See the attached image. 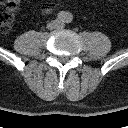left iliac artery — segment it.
I'll use <instances>...</instances> for the list:
<instances>
[{
  "label": "left iliac artery",
  "instance_id": "1",
  "mask_svg": "<svg viewBox=\"0 0 128 128\" xmlns=\"http://www.w3.org/2000/svg\"><path fill=\"white\" fill-rule=\"evenodd\" d=\"M72 20H73L72 14L68 13V14L66 15L65 22H66V23H71Z\"/></svg>",
  "mask_w": 128,
  "mask_h": 128
}]
</instances>
